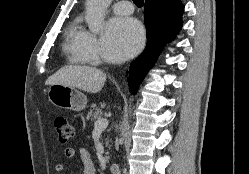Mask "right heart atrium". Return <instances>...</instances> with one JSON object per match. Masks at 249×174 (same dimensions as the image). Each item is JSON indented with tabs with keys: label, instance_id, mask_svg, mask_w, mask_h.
Returning <instances> with one entry per match:
<instances>
[{
	"label": "right heart atrium",
	"instance_id": "d8ad5b80",
	"mask_svg": "<svg viewBox=\"0 0 249 174\" xmlns=\"http://www.w3.org/2000/svg\"><path fill=\"white\" fill-rule=\"evenodd\" d=\"M82 51L91 62H99L101 59V45L99 40L90 32L85 31L82 39Z\"/></svg>",
	"mask_w": 249,
	"mask_h": 174
}]
</instances>
